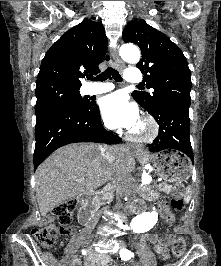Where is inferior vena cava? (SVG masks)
I'll return each instance as SVG.
<instances>
[{"label": "inferior vena cava", "mask_w": 221, "mask_h": 266, "mask_svg": "<svg viewBox=\"0 0 221 266\" xmlns=\"http://www.w3.org/2000/svg\"><path fill=\"white\" fill-rule=\"evenodd\" d=\"M113 147V146H112ZM102 156L109 162L113 163L115 161V154L111 147L103 146L100 148ZM113 185L117 192H123L126 188L127 177L122 175L113 176Z\"/></svg>", "instance_id": "inferior-vena-cava-1"}]
</instances>
